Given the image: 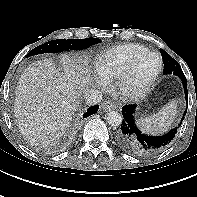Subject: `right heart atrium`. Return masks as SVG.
I'll return each mask as SVG.
<instances>
[{"instance_id":"1","label":"right heart atrium","mask_w":197,"mask_h":197,"mask_svg":"<svg viewBox=\"0 0 197 197\" xmlns=\"http://www.w3.org/2000/svg\"><path fill=\"white\" fill-rule=\"evenodd\" d=\"M94 83L97 87H100V88H104L106 85V81L102 77H95Z\"/></svg>"}]
</instances>
